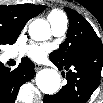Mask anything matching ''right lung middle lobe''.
Here are the masks:
<instances>
[{"mask_svg": "<svg viewBox=\"0 0 103 103\" xmlns=\"http://www.w3.org/2000/svg\"><path fill=\"white\" fill-rule=\"evenodd\" d=\"M18 38V34H10L0 29V45L13 44Z\"/></svg>", "mask_w": 103, "mask_h": 103, "instance_id": "dd1d6c3e", "label": "right lung middle lobe"}]
</instances>
